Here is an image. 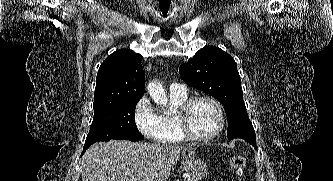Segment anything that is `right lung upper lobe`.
<instances>
[{
  "instance_id": "obj_1",
  "label": "right lung upper lobe",
  "mask_w": 333,
  "mask_h": 181,
  "mask_svg": "<svg viewBox=\"0 0 333 181\" xmlns=\"http://www.w3.org/2000/svg\"><path fill=\"white\" fill-rule=\"evenodd\" d=\"M141 60L140 54L120 49L103 61L96 78L94 108L143 96L145 77Z\"/></svg>"
}]
</instances>
